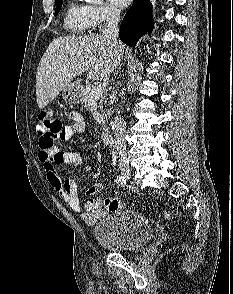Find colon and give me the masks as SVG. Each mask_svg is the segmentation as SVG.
Here are the masks:
<instances>
[{
	"label": "colon",
	"instance_id": "colon-1",
	"mask_svg": "<svg viewBox=\"0 0 233 294\" xmlns=\"http://www.w3.org/2000/svg\"><path fill=\"white\" fill-rule=\"evenodd\" d=\"M36 132L39 136L40 149L54 148L55 141L60 139L64 132L63 121L55 114L54 111L47 109L40 113L36 125ZM105 207L108 210H118L122 207L121 203L115 198H109L105 201ZM165 217H169L168 211L163 212Z\"/></svg>",
	"mask_w": 233,
	"mask_h": 294
}]
</instances>
